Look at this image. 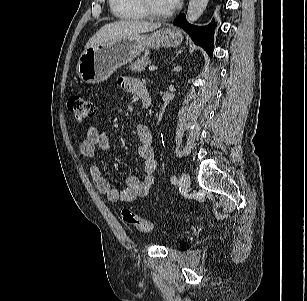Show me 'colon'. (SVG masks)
<instances>
[{
    "label": "colon",
    "instance_id": "1",
    "mask_svg": "<svg viewBox=\"0 0 307 301\" xmlns=\"http://www.w3.org/2000/svg\"><path fill=\"white\" fill-rule=\"evenodd\" d=\"M68 108L78 123L87 122L95 113L94 102L81 94H74L69 98ZM121 216L127 225L132 226L140 232L148 233L153 229V225L149 220L139 217L131 210L123 209Z\"/></svg>",
    "mask_w": 307,
    "mask_h": 301
}]
</instances>
